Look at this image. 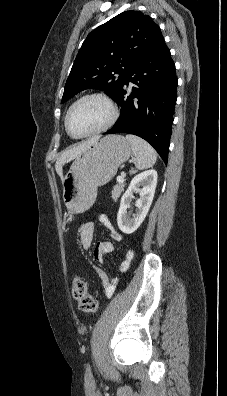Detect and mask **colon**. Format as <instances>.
<instances>
[{
  "label": "colon",
  "mask_w": 227,
  "mask_h": 396,
  "mask_svg": "<svg viewBox=\"0 0 227 396\" xmlns=\"http://www.w3.org/2000/svg\"><path fill=\"white\" fill-rule=\"evenodd\" d=\"M72 295L81 311L93 313L98 310V302L87 292V285L79 276L72 280Z\"/></svg>",
  "instance_id": "1"
}]
</instances>
